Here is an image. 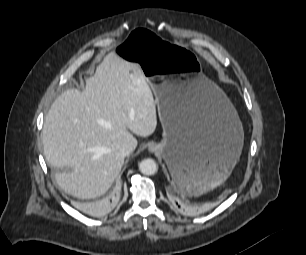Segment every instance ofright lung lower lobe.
Here are the masks:
<instances>
[{"mask_svg": "<svg viewBox=\"0 0 306 255\" xmlns=\"http://www.w3.org/2000/svg\"><path fill=\"white\" fill-rule=\"evenodd\" d=\"M86 207V209H88V210H95L97 207H95V206H85Z\"/></svg>", "mask_w": 306, "mask_h": 255, "instance_id": "obj_1", "label": "right lung lower lobe"}]
</instances>
